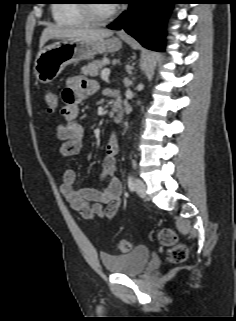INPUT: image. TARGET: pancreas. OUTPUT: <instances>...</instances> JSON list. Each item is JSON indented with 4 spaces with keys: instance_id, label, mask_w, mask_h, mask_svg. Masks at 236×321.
Returning <instances> with one entry per match:
<instances>
[{
    "instance_id": "1",
    "label": "pancreas",
    "mask_w": 236,
    "mask_h": 321,
    "mask_svg": "<svg viewBox=\"0 0 236 321\" xmlns=\"http://www.w3.org/2000/svg\"><path fill=\"white\" fill-rule=\"evenodd\" d=\"M107 63V58L92 61L91 63L82 67V73L85 75H90L91 77H96L97 75H99V72L102 71V69H104Z\"/></svg>"
}]
</instances>
